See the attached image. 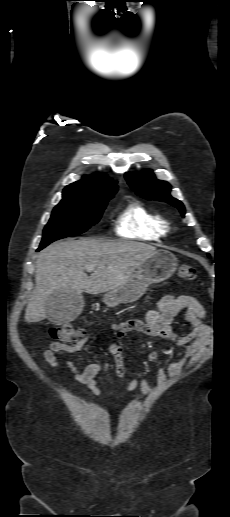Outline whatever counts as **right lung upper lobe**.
<instances>
[{
    "mask_svg": "<svg viewBox=\"0 0 230 517\" xmlns=\"http://www.w3.org/2000/svg\"><path fill=\"white\" fill-rule=\"evenodd\" d=\"M117 191L116 182L104 174L84 176L81 180L66 186L62 200L94 199L108 192Z\"/></svg>",
    "mask_w": 230,
    "mask_h": 517,
    "instance_id": "obj_1",
    "label": "right lung upper lobe"
}]
</instances>
